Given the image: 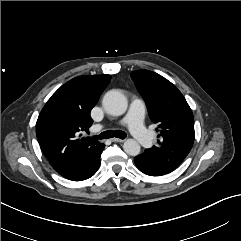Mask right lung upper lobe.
<instances>
[{
    "label": "right lung upper lobe",
    "mask_w": 241,
    "mask_h": 241,
    "mask_svg": "<svg viewBox=\"0 0 241 241\" xmlns=\"http://www.w3.org/2000/svg\"><path fill=\"white\" fill-rule=\"evenodd\" d=\"M111 80L110 75L76 77L61 86L47 101L36 123L40 147L60 175L90 159L104 145L82 131L92 125L91 109Z\"/></svg>",
    "instance_id": "right-lung-upper-lobe-1"
}]
</instances>
